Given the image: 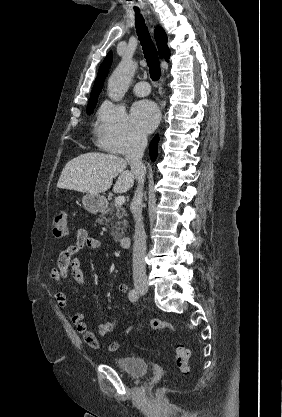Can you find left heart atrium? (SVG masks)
<instances>
[{"label": "left heart atrium", "instance_id": "obj_1", "mask_svg": "<svg viewBox=\"0 0 282 417\" xmlns=\"http://www.w3.org/2000/svg\"><path fill=\"white\" fill-rule=\"evenodd\" d=\"M132 121L142 132L150 131L159 120V110L150 101H140L132 109Z\"/></svg>", "mask_w": 282, "mask_h": 417}]
</instances>
